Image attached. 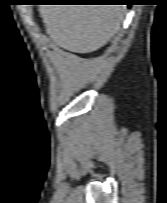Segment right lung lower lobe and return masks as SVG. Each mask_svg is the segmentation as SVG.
Returning a JSON list of instances; mask_svg holds the SVG:
<instances>
[{
  "label": "right lung lower lobe",
  "instance_id": "98d812e1",
  "mask_svg": "<svg viewBox=\"0 0 167 203\" xmlns=\"http://www.w3.org/2000/svg\"><path fill=\"white\" fill-rule=\"evenodd\" d=\"M91 1H93V0H91ZM107 1H117V0H107ZM106 3V2H105ZM108 3V2H107ZM110 3V2H109Z\"/></svg>",
  "mask_w": 167,
  "mask_h": 203
}]
</instances>
